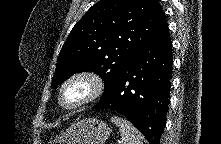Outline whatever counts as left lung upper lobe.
Returning <instances> with one entry per match:
<instances>
[{"mask_svg": "<svg viewBox=\"0 0 221 144\" xmlns=\"http://www.w3.org/2000/svg\"><path fill=\"white\" fill-rule=\"evenodd\" d=\"M163 20L158 0H100L67 37L57 59L52 88L73 74L93 71L105 83L103 97Z\"/></svg>", "mask_w": 221, "mask_h": 144, "instance_id": "5c2ea615", "label": "left lung upper lobe"}]
</instances>
